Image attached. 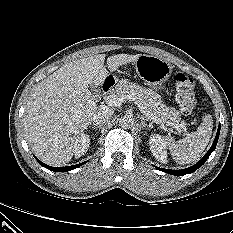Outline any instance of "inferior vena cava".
Segmentation results:
<instances>
[{
    "label": "inferior vena cava",
    "mask_w": 233,
    "mask_h": 233,
    "mask_svg": "<svg viewBox=\"0 0 233 233\" xmlns=\"http://www.w3.org/2000/svg\"><path fill=\"white\" fill-rule=\"evenodd\" d=\"M113 113L114 112L110 107L106 105L99 106L92 117L93 125H102L108 122L113 117Z\"/></svg>",
    "instance_id": "602c4592"
}]
</instances>
